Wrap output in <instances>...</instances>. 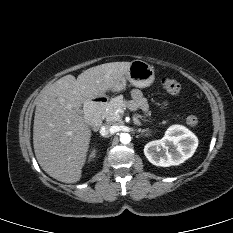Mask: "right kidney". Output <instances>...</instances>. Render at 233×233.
<instances>
[{
  "label": "right kidney",
  "instance_id": "1",
  "mask_svg": "<svg viewBox=\"0 0 233 233\" xmlns=\"http://www.w3.org/2000/svg\"><path fill=\"white\" fill-rule=\"evenodd\" d=\"M94 155H95V153L93 152L91 156H94Z\"/></svg>",
  "mask_w": 233,
  "mask_h": 233
}]
</instances>
